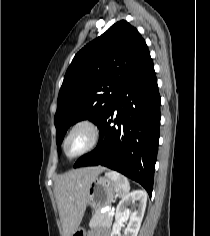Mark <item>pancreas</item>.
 <instances>
[{"label": "pancreas", "instance_id": "1", "mask_svg": "<svg viewBox=\"0 0 210 236\" xmlns=\"http://www.w3.org/2000/svg\"><path fill=\"white\" fill-rule=\"evenodd\" d=\"M113 216L109 214V212L101 213L96 211L92 216L89 226L91 228L102 226V227H110L112 224Z\"/></svg>", "mask_w": 210, "mask_h": 236}]
</instances>
